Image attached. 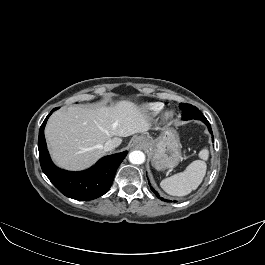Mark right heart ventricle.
<instances>
[{"instance_id": "right-heart-ventricle-1", "label": "right heart ventricle", "mask_w": 265, "mask_h": 265, "mask_svg": "<svg viewBox=\"0 0 265 265\" xmlns=\"http://www.w3.org/2000/svg\"><path fill=\"white\" fill-rule=\"evenodd\" d=\"M162 107H163L162 103H149L144 105L143 109L150 117H153L160 112Z\"/></svg>"}]
</instances>
